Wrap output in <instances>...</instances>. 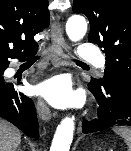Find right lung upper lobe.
Segmentation results:
<instances>
[{
  "label": "right lung upper lobe",
  "mask_w": 131,
  "mask_h": 151,
  "mask_svg": "<svg viewBox=\"0 0 131 151\" xmlns=\"http://www.w3.org/2000/svg\"><path fill=\"white\" fill-rule=\"evenodd\" d=\"M48 25V0H0V59L34 52Z\"/></svg>",
  "instance_id": "1"
}]
</instances>
